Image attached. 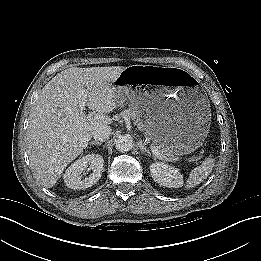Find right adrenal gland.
Here are the masks:
<instances>
[{"label": "right adrenal gland", "mask_w": 261, "mask_h": 261, "mask_svg": "<svg viewBox=\"0 0 261 261\" xmlns=\"http://www.w3.org/2000/svg\"><path fill=\"white\" fill-rule=\"evenodd\" d=\"M90 145H96V146H101L102 142H98V141H91Z\"/></svg>", "instance_id": "2a0ac1e0"}]
</instances>
